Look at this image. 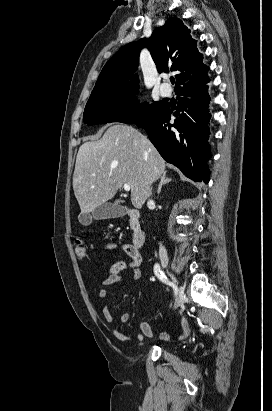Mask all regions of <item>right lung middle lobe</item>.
I'll list each match as a JSON object with an SVG mask.
<instances>
[{"label": "right lung middle lobe", "mask_w": 272, "mask_h": 411, "mask_svg": "<svg viewBox=\"0 0 272 411\" xmlns=\"http://www.w3.org/2000/svg\"><path fill=\"white\" fill-rule=\"evenodd\" d=\"M137 89V85L118 84L93 90L84 110V122L88 125L110 122L136 123L149 118L163 102L137 106L130 98V94Z\"/></svg>", "instance_id": "obj_1"}]
</instances>
